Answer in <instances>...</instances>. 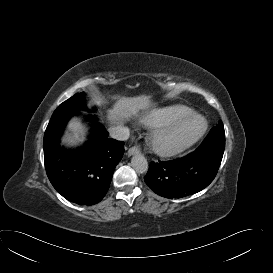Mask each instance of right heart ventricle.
<instances>
[{"mask_svg": "<svg viewBox=\"0 0 273 273\" xmlns=\"http://www.w3.org/2000/svg\"><path fill=\"white\" fill-rule=\"evenodd\" d=\"M191 113L185 105H175L154 111L145 122L154 127L170 126L184 119Z\"/></svg>", "mask_w": 273, "mask_h": 273, "instance_id": "1", "label": "right heart ventricle"}]
</instances>
